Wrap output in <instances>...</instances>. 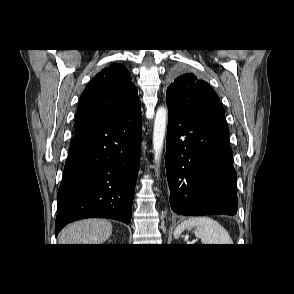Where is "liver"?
Listing matches in <instances>:
<instances>
[{"mask_svg":"<svg viewBox=\"0 0 294 294\" xmlns=\"http://www.w3.org/2000/svg\"><path fill=\"white\" fill-rule=\"evenodd\" d=\"M112 234L105 219H84L69 224L59 234V244H103Z\"/></svg>","mask_w":294,"mask_h":294,"instance_id":"1","label":"liver"}]
</instances>
